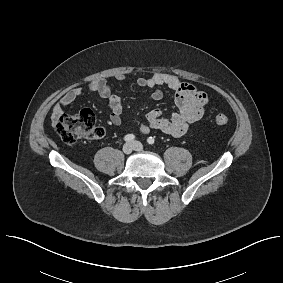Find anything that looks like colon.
<instances>
[{
	"mask_svg": "<svg viewBox=\"0 0 283 283\" xmlns=\"http://www.w3.org/2000/svg\"><path fill=\"white\" fill-rule=\"evenodd\" d=\"M215 122L217 125L225 126L229 123V118L224 114H217ZM55 129L67 145H73L80 139H97L104 135L103 128L97 125L90 110L62 115L56 121Z\"/></svg>",
	"mask_w": 283,
	"mask_h": 283,
	"instance_id": "1",
	"label": "colon"
}]
</instances>
